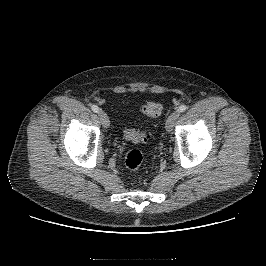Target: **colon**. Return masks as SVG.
Here are the masks:
<instances>
[{
  "label": "colon",
  "instance_id": "5ec220e1",
  "mask_svg": "<svg viewBox=\"0 0 266 266\" xmlns=\"http://www.w3.org/2000/svg\"><path fill=\"white\" fill-rule=\"evenodd\" d=\"M141 110L146 116L155 118L161 113V105L154 101H146L142 105ZM152 134V130L141 132L132 129L125 130V137L132 142H146L152 136ZM142 161V153L137 149H133L126 155L125 165L128 169L136 171L141 166Z\"/></svg>",
  "mask_w": 266,
  "mask_h": 266
}]
</instances>
